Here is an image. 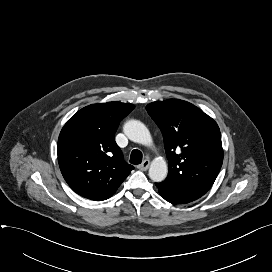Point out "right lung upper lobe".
Returning a JSON list of instances; mask_svg holds the SVG:
<instances>
[{
    "instance_id": "right-lung-upper-lobe-1",
    "label": "right lung upper lobe",
    "mask_w": 272,
    "mask_h": 272,
    "mask_svg": "<svg viewBox=\"0 0 272 272\" xmlns=\"http://www.w3.org/2000/svg\"><path fill=\"white\" fill-rule=\"evenodd\" d=\"M133 109L134 105L121 102L89 105L62 128L57 146L60 170L80 196L106 200L134 169L115 142L120 121Z\"/></svg>"
}]
</instances>
